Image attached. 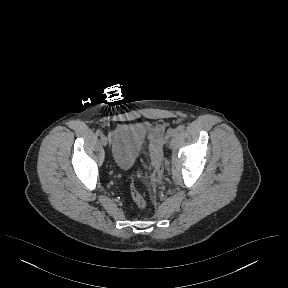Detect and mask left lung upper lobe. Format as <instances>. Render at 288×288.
Instances as JSON below:
<instances>
[{"label": "left lung upper lobe", "instance_id": "left-lung-upper-lobe-1", "mask_svg": "<svg viewBox=\"0 0 288 288\" xmlns=\"http://www.w3.org/2000/svg\"><path fill=\"white\" fill-rule=\"evenodd\" d=\"M254 220H255V217H251V218L248 220V224H251Z\"/></svg>", "mask_w": 288, "mask_h": 288}]
</instances>
